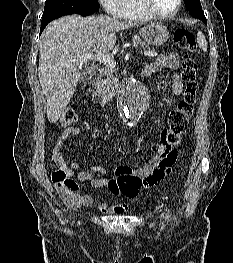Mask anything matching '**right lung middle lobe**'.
I'll list each match as a JSON object with an SVG mask.
<instances>
[{
	"instance_id": "1",
	"label": "right lung middle lobe",
	"mask_w": 233,
	"mask_h": 263,
	"mask_svg": "<svg viewBox=\"0 0 233 263\" xmlns=\"http://www.w3.org/2000/svg\"><path fill=\"white\" fill-rule=\"evenodd\" d=\"M99 7L98 0H46L42 22L68 14H80L81 11L94 13Z\"/></svg>"
}]
</instances>
